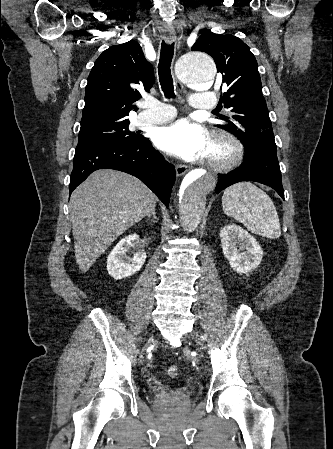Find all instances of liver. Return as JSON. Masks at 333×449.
I'll return each instance as SVG.
<instances>
[{"instance_id": "liver-1", "label": "liver", "mask_w": 333, "mask_h": 449, "mask_svg": "<svg viewBox=\"0 0 333 449\" xmlns=\"http://www.w3.org/2000/svg\"><path fill=\"white\" fill-rule=\"evenodd\" d=\"M156 203L152 191L132 175L111 169L93 172L69 202L79 269L88 271L117 237L150 215Z\"/></svg>"}]
</instances>
